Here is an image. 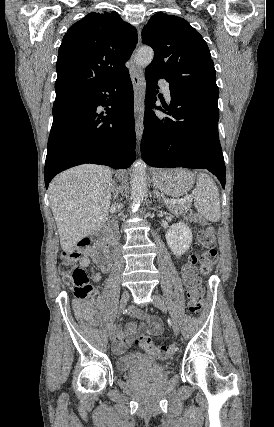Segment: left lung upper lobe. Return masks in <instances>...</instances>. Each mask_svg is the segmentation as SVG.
I'll return each mask as SVG.
<instances>
[{
  "label": "left lung upper lobe",
  "instance_id": "left-lung-upper-lobe-1",
  "mask_svg": "<svg viewBox=\"0 0 274 427\" xmlns=\"http://www.w3.org/2000/svg\"><path fill=\"white\" fill-rule=\"evenodd\" d=\"M142 42L154 50L146 71L158 74L175 88L218 98L208 46L186 20L159 12L144 26Z\"/></svg>",
  "mask_w": 274,
  "mask_h": 427
}]
</instances>
